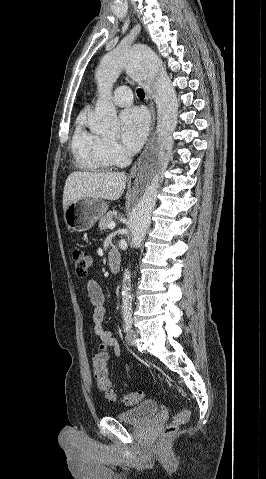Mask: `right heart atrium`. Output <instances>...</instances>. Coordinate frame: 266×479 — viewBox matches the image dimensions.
<instances>
[{
    "label": "right heart atrium",
    "mask_w": 266,
    "mask_h": 479,
    "mask_svg": "<svg viewBox=\"0 0 266 479\" xmlns=\"http://www.w3.org/2000/svg\"><path fill=\"white\" fill-rule=\"evenodd\" d=\"M105 152L115 165H123L127 162V154L115 141H105Z\"/></svg>",
    "instance_id": "right-heart-atrium-1"
}]
</instances>
